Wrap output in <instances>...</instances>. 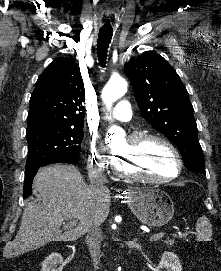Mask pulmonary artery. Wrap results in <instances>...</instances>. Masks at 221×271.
<instances>
[{"instance_id":"pulmonary-artery-1","label":"pulmonary artery","mask_w":221,"mask_h":271,"mask_svg":"<svg viewBox=\"0 0 221 271\" xmlns=\"http://www.w3.org/2000/svg\"><path fill=\"white\" fill-rule=\"evenodd\" d=\"M116 107H111L105 116L111 117V122H135V117L131 116L133 107H129V102H116Z\"/></svg>"}]
</instances>
